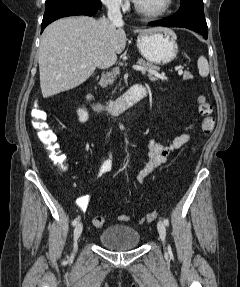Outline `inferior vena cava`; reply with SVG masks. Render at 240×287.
Segmentation results:
<instances>
[{
    "mask_svg": "<svg viewBox=\"0 0 240 287\" xmlns=\"http://www.w3.org/2000/svg\"><path fill=\"white\" fill-rule=\"evenodd\" d=\"M107 16L110 22L122 23V14L120 11V0H109L107 3Z\"/></svg>",
    "mask_w": 240,
    "mask_h": 287,
    "instance_id": "1",
    "label": "inferior vena cava"
}]
</instances>
